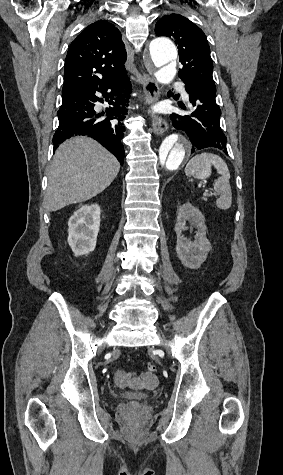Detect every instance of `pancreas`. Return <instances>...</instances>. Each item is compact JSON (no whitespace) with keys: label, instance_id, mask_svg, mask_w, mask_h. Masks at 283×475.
Segmentation results:
<instances>
[{"label":"pancreas","instance_id":"1","mask_svg":"<svg viewBox=\"0 0 283 475\" xmlns=\"http://www.w3.org/2000/svg\"><path fill=\"white\" fill-rule=\"evenodd\" d=\"M202 200H205V202H207V198H202Z\"/></svg>","mask_w":283,"mask_h":475}]
</instances>
